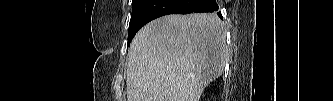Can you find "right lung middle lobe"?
<instances>
[{
  "label": "right lung middle lobe",
  "instance_id": "obj_1",
  "mask_svg": "<svg viewBox=\"0 0 333 101\" xmlns=\"http://www.w3.org/2000/svg\"><path fill=\"white\" fill-rule=\"evenodd\" d=\"M143 2V0H132V15H131V20H130V25H129V33H128V44L131 42L132 40V25H131V21L135 15V13L137 12L140 4Z\"/></svg>",
  "mask_w": 333,
  "mask_h": 101
}]
</instances>
